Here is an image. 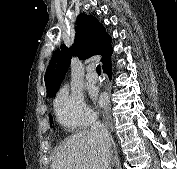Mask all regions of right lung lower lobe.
I'll list each match as a JSON object with an SVG mask.
<instances>
[{"mask_svg": "<svg viewBox=\"0 0 177 169\" xmlns=\"http://www.w3.org/2000/svg\"><path fill=\"white\" fill-rule=\"evenodd\" d=\"M103 70H104V73H106L108 77L111 79L112 78V64L110 63L109 65L105 66Z\"/></svg>", "mask_w": 177, "mask_h": 169, "instance_id": "right-lung-lower-lobe-1", "label": "right lung lower lobe"}]
</instances>
